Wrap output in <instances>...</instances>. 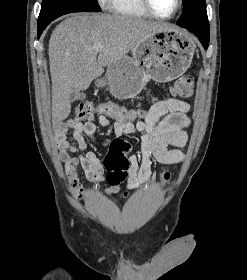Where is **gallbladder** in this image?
I'll use <instances>...</instances> for the list:
<instances>
[{
	"label": "gallbladder",
	"instance_id": "gallbladder-1",
	"mask_svg": "<svg viewBox=\"0 0 247 280\" xmlns=\"http://www.w3.org/2000/svg\"><path fill=\"white\" fill-rule=\"evenodd\" d=\"M84 98H85L84 95H80L76 91H73L72 94L70 95V101L71 102H74L77 99H84Z\"/></svg>",
	"mask_w": 247,
	"mask_h": 280
}]
</instances>
